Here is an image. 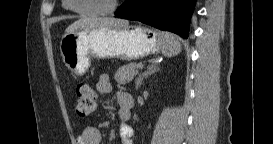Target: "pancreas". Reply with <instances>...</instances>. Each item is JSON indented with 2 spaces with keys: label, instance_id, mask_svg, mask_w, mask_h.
Returning <instances> with one entry per match:
<instances>
[{
  "label": "pancreas",
  "instance_id": "1",
  "mask_svg": "<svg viewBox=\"0 0 273 144\" xmlns=\"http://www.w3.org/2000/svg\"><path fill=\"white\" fill-rule=\"evenodd\" d=\"M137 65V63H129L120 67L114 75L117 83L124 85L130 82L138 73Z\"/></svg>",
  "mask_w": 273,
  "mask_h": 144
}]
</instances>
